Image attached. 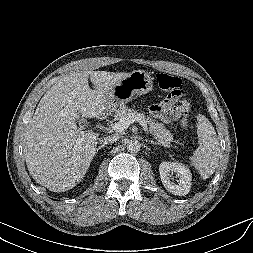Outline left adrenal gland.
I'll list each match as a JSON object with an SVG mask.
<instances>
[{
	"instance_id": "a2214340",
	"label": "left adrenal gland",
	"mask_w": 253,
	"mask_h": 253,
	"mask_svg": "<svg viewBox=\"0 0 253 253\" xmlns=\"http://www.w3.org/2000/svg\"><path fill=\"white\" fill-rule=\"evenodd\" d=\"M150 144H154V145H161L160 143L158 142H154V141H149Z\"/></svg>"
}]
</instances>
